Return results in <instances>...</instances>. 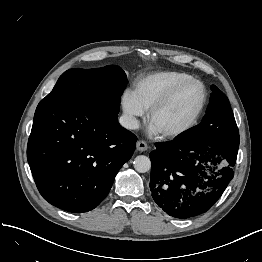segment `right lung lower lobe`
<instances>
[{
  "label": "right lung lower lobe",
  "mask_w": 262,
  "mask_h": 262,
  "mask_svg": "<svg viewBox=\"0 0 262 262\" xmlns=\"http://www.w3.org/2000/svg\"><path fill=\"white\" fill-rule=\"evenodd\" d=\"M136 136L98 109L72 100H42L27 159L45 200L81 213L98 206L136 147Z\"/></svg>",
  "instance_id": "98d812e1"
}]
</instances>
